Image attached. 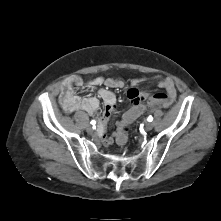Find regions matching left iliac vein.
Listing matches in <instances>:
<instances>
[{
	"instance_id": "obj_1",
	"label": "left iliac vein",
	"mask_w": 221,
	"mask_h": 221,
	"mask_svg": "<svg viewBox=\"0 0 221 221\" xmlns=\"http://www.w3.org/2000/svg\"><path fill=\"white\" fill-rule=\"evenodd\" d=\"M152 128H153V124L150 123V122H148V123L145 125V130H146V131H151Z\"/></svg>"
}]
</instances>
